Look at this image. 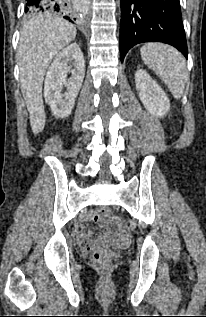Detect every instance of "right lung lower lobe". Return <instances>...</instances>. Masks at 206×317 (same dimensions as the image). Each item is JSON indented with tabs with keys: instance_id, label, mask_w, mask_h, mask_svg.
Listing matches in <instances>:
<instances>
[{
	"instance_id": "right-lung-lower-lobe-1",
	"label": "right lung lower lobe",
	"mask_w": 206,
	"mask_h": 317,
	"mask_svg": "<svg viewBox=\"0 0 206 317\" xmlns=\"http://www.w3.org/2000/svg\"><path fill=\"white\" fill-rule=\"evenodd\" d=\"M66 2L67 0H26L25 13L56 11L63 14L66 13ZM63 17L73 22L68 15ZM74 20L76 19L74 18Z\"/></svg>"
}]
</instances>
